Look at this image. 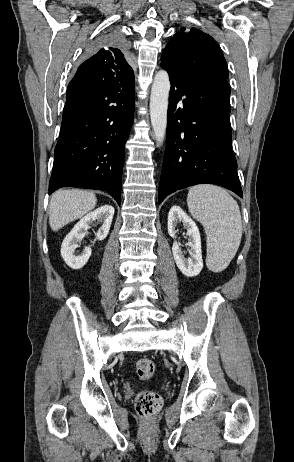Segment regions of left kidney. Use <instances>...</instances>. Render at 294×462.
<instances>
[{"mask_svg":"<svg viewBox=\"0 0 294 462\" xmlns=\"http://www.w3.org/2000/svg\"><path fill=\"white\" fill-rule=\"evenodd\" d=\"M178 222H182L187 230L190 257L185 258L180 245L174 241L172 246L174 260L185 276H197L203 268L200 232L196 223L179 206H173L168 214V233L174 239L176 238L175 227Z\"/></svg>","mask_w":294,"mask_h":462,"instance_id":"5707ae66","label":"left kidney"}]
</instances>
